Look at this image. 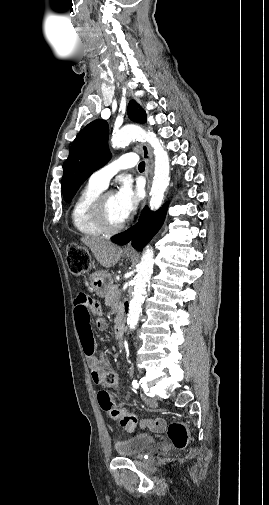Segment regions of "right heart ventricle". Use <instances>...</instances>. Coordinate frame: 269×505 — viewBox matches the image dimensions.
<instances>
[{"label":"right heart ventricle","mask_w":269,"mask_h":505,"mask_svg":"<svg viewBox=\"0 0 269 505\" xmlns=\"http://www.w3.org/2000/svg\"><path fill=\"white\" fill-rule=\"evenodd\" d=\"M103 188L88 182L77 196L72 210L71 220L74 228L82 235L100 237L106 233L95 222L92 214V206Z\"/></svg>","instance_id":"obj_1"}]
</instances>
